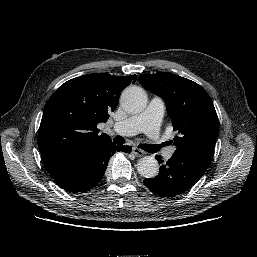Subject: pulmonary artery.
<instances>
[{
  "label": "pulmonary artery",
  "instance_id": "1",
  "mask_svg": "<svg viewBox=\"0 0 257 257\" xmlns=\"http://www.w3.org/2000/svg\"><path fill=\"white\" fill-rule=\"evenodd\" d=\"M165 111L164 101L160 97H153L144 111L132 115L124 120L115 121L113 128L122 135H133L145 132L161 150L163 156L169 159L173 156L175 149L168 147L159 135V125Z\"/></svg>",
  "mask_w": 257,
  "mask_h": 257
}]
</instances>
